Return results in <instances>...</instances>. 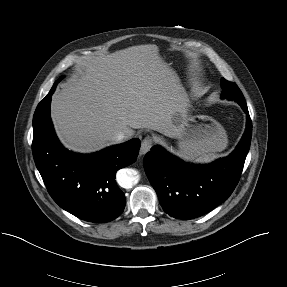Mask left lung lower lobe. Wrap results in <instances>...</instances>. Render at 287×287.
Here are the masks:
<instances>
[{"label": "left lung lower lobe", "mask_w": 287, "mask_h": 287, "mask_svg": "<svg viewBox=\"0 0 287 287\" xmlns=\"http://www.w3.org/2000/svg\"><path fill=\"white\" fill-rule=\"evenodd\" d=\"M247 115L245 133L226 158L209 165H192L154 146L144 158L146 175L163 210L178 219L202 216L228 199L235 189L249 151L252 123L246 101L238 102Z\"/></svg>", "instance_id": "left-lung-lower-lobe-1"}]
</instances>
